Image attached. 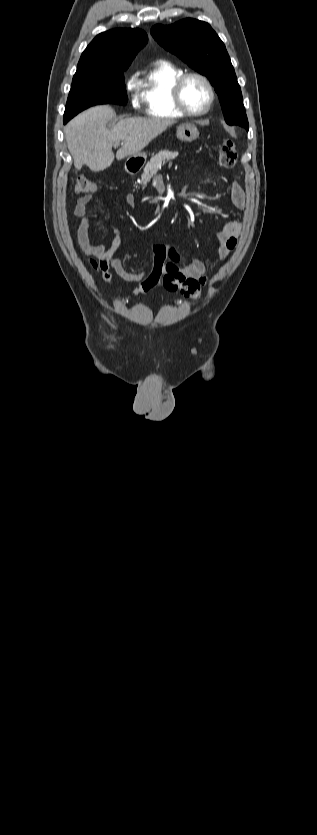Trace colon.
I'll return each instance as SVG.
<instances>
[{
    "mask_svg": "<svg viewBox=\"0 0 317 835\" xmlns=\"http://www.w3.org/2000/svg\"><path fill=\"white\" fill-rule=\"evenodd\" d=\"M217 162L222 167H232L237 160V151L235 143L232 140H226L217 152ZM96 191V184L87 176H79L75 182V192L77 194H90ZM161 283L168 291H179L183 296L190 300H196L201 293V285L198 280L187 277L180 267L172 261L165 264L164 272L161 276Z\"/></svg>",
    "mask_w": 317,
    "mask_h": 835,
    "instance_id": "5ec220e1",
    "label": "colon"
}]
</instances>
